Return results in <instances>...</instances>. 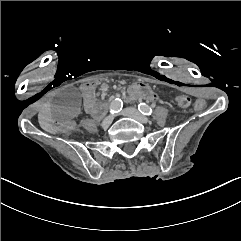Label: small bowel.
I'll return each mask as SVG.
<instances>
[{
  "label": "small bowel",
  "mask_w": 241,
  "mask_h": 241,
  "mask_svg": "<svg viewBox=\"0 0 241 241\" xmlns=\"http://www.w3.org/2000/svg\"><path fill=\"white\" fill-rule=\"evenodd\" d=\"M98 84V82H89L81 86L86 110L92 115H95L96 110L98 109V106L95 104L94 97V91ZM102 90H104V88H102ZM127 92L129 94L140 93L147 100H154L156 98V90L150 87V85L145 82L129 83L127 85ZM40 108L42 109L40 111V116L42 117V121L46 126H55L57 129H66L68 127V124L66 122L56 123L54 120L49 119L47 111L45 110L47 108V105L45 103H42L40 105Z\"/></svg>",
  "instance_id": "obj_1"
}]
</instances>
